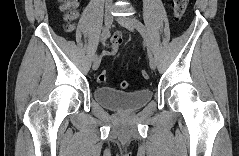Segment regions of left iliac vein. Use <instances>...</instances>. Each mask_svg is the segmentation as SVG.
I'll use <instances>...</instances> for the list:
<instances>
[{
  "instance_id": "obj_1",
  "label": "left iliac vein",
  "mask_w": 239,
  "mask_h": 156,
  "mask_svg": "<svg viewBox=\"0 0 239 156\" xmlns=\"http://www.w3.org/2000/svg\"><path fill=\"white\" fill-rule=\"evenodd\" d=\"M117 22L122 25L123 27H125L126 29H128L129 31H134L136 26H135V22L134 19H132L131 17H118ZM149 65L151 69H155L156 68V61L153 57H151L149 59Z\"/></svg>"
}]
</instances>
